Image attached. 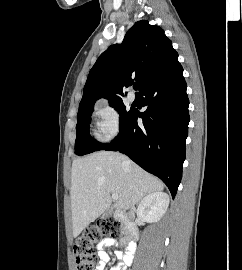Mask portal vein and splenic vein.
<instances>
[{
    "mask_svg": "<svg viewBox=\"0 0 242 270\" xmlns=\"http://www.w3.org/2000/svg\"><path fill=\"white\" fill-rule=\"evenodd\" d=\"M118 198H119L118 194H116V193L112 194V199L113 200H117Z\"/></svg>",
    "mask_w": 242,
    "mask_h": 270,
    "instance_id": "portal-vein-and-splenic-vein-1",
    "label": "portal vein and splenic vein"
}]
</instances>
